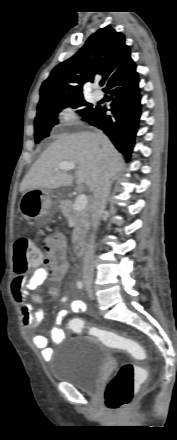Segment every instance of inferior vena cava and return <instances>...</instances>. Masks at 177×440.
<instances>
[{"instance_id": "602c4592", "label": "inferior vena cava", "mask_w": 177, "mask_h": 440, "mask_svg": "<svg viewBox=\"0 0 177 440\" xmlns=\"http://www.w3.org/2000/svg\"><path fill=\"white\" fill-rule=\"evenodd\" d=\"M100 134V133H97ZM109 177L104 167L101 169V174L97 179L96 185L93 189V201L91 205V221L92 227L95 231L99 225L100 216L103 213L106 205V200L109 194ZM94 233L91 234L89 244L83 258V279L93 280L94 277Z\"/></svg>"}]
</instances>
